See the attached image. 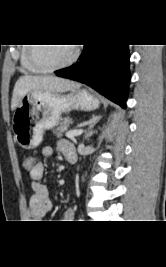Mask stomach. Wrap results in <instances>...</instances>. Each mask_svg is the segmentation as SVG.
I'll return each instance as SVG.
<instances>
[{"label":"stomach","instance_id":"1","mask_svg":"<svg viewBox=\"0 0 166 267\" xmlns=\"http://www.w3.org/2000/svg\"><path fill=\"white\" fill-rule=\"evenodd\" d=\"M99 101L86 90L69 94L31 92L23 97L12 118L15 141L24 149H33L43 140L45 130L56 126L64 112L72 109L92 111Z\"/></svg>","mask_w":166,"mask_h":267}]
</instances>
